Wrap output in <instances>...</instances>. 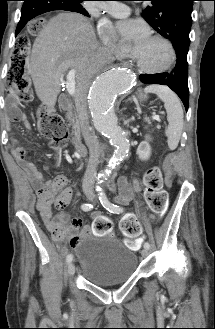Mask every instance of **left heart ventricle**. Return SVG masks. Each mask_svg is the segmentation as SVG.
Instances as JSON below:
<instances>
[{
	"label": "left heart ventricle",
	"mask_w": 215,
	"mask_h": 329,
	"mask_svg": "<svg viewBox=\"0 0 215 329\" xmlns=\"http://www.w3.org/2000/svg\"><path fill=\"white\" fill-rule=\"evenodd\" d=\"M138 61L146 68H161L169 61L170 52L168 47L159 40L150 38L139 50L134 51Z\"/></svg>",
	"instance_id": "1"
}]
</instances>
